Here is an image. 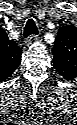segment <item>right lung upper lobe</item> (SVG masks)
Masks as SVG:
<instances>
[{
  "label": "right lung upper lobe",
  "mask_w": 77,
  "mask_h": 125,
  "mask_svg": "<svg viewBox=\"0 0 77 125\" xmlns=\"http://www.w3.org/2000/svg\"><path fill=\"white\" fill-rule=\"evenodd\" d=\"M21 63V48L0 30V80H6Z\"/></svg>",
  "instance_id": "1"
}]
</instances>
